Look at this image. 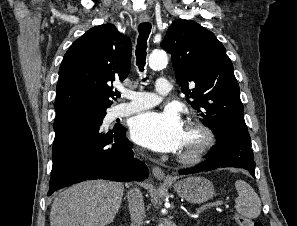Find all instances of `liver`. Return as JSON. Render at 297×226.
<instances>
[{
	"instance_id": "6515ba94",
	"label": "liver",
	"mask_w": 297,
	"mask_h": 226,
	"mask_svg": "<svg viewBox=\"0 0 297 226\" xmlns=\"http://www.w3.org/2000/svg\"><path fill=\"white\" fill-rule=\"evenodd\" d=\"M124 186L110 181H86L63 191L52 203L50 226H105L117 214Z\"/></svg>"
}]
</instances>
